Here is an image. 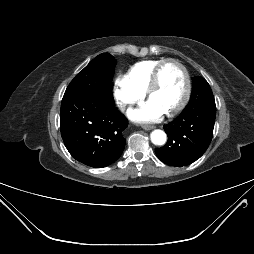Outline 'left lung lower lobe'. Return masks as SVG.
<instances>
[{
    "instance_id": "left-lung-lower-lobe-1",
    "label": "left lung lower lobe",
    "mask_w": 254,
    "mask_h": 254,
    "mask_svg": "<svg viewBox=\"0 0 254 254\" xmlns=\"http://www.w3.org/2000/svg\"><path fill=\"white\" fill-rule=\"evenodd\" d=\"M215 116V104L189 102L175 120L164 126L168 140L155 149L158 158L179 167L199 159L211 142Z\"/></svg>"
}]
</instances>
